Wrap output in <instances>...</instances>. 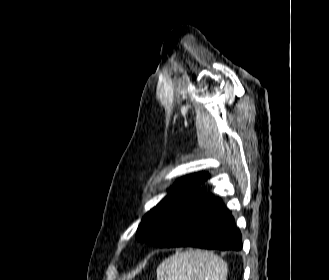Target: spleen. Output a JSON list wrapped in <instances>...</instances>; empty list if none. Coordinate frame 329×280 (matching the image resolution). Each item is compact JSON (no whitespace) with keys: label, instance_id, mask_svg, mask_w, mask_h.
Wrapping results in <instances>:
<instances>
[{"label":"spleen","instance_id":"1","mask_svg":"<svg viewBox=\"0 0 329 280\" xmlns=\"http://www.w3.org/2000/svg\"><path fill=\"white\" fill-rule=\"evenodd\" d=\"M157 280H226V263L213 252L189 249L163 260Z\"/></svg>","mask_w":329,"mask_h":280}]
</instances>
